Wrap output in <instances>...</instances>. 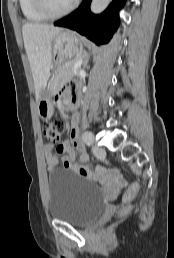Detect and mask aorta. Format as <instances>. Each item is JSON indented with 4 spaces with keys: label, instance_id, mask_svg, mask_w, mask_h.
<instances>
[{
    "label": "aorta",
    "instance_id": "aorta-1",
    "mask_svg": "<svg viewBox=\"0 0 174 258\" xmlns=\"http://www.w3.org/2000/svg\"><path fill=\"white\" fill-rule=\"evenodd\" d=\"M111 0H92L91 2V12L94 14H100L103 12Z\"/></svg>",
    "mask_w": 174,
    "mask_h": 258
}]
</instances>
